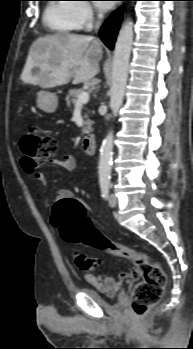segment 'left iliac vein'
<instances>
[{"mask_svg": "<svg viewBox=\"0 0 193 349\" xmlns=\"http://www.w3.org/2000/svg\"><path fill=\"white\" fill-rule=\"evenodd\" d=\"M116 204H117V198H116V196H115L114 194H111V195L109 196V205H110L111 207H115Z\"/></svg>", "mask_w": 193, "mask_h": 349, "instance_id": "1", "label": "left iliac vein"}]
</instances>
